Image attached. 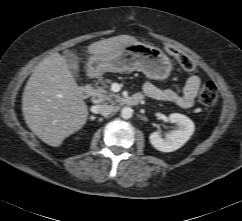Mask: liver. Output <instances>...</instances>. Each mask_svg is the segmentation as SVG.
Returning a JSON list of instances; mask_svg holds the SVG:
<instances>
[{"instance_id":"liver-1","label":"liver","mask_w":242,"mask_h":221,"mask_svg":"<svg viewBox=\"0 0 242 221\" xmlns=\"http://www.w3.org/2000/svg\"><path fill=\"white\" fill-rule=\"evenodd\" d=\"M135 37L119 35L88 46L92 55L116 54ZM22 112L27 126L44 143L58 147L86 123L88 108L66 59L59 53L44 58L24 89Z\"/></svg>"}]
</instances>
